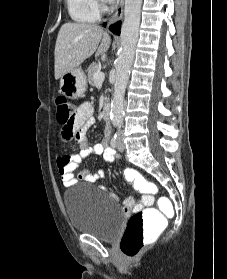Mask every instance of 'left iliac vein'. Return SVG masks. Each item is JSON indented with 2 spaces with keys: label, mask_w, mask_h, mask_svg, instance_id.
<instances>
[{
  "label": "left iliac vein",
  "mask_w": 227,
  "mask_h": 279,
  "mask_svg": "<svg viewBox=\"0 0 227 279\" xmlns=\"http://www.w3.org/2000/svg\"><path fill=\"white\" fill-rule=\"evenodd\" d=\"M118 150L120 152H123L125 150V145L123 143V137L120 136L119 139H118Z\"/></svg>",
  "instance_id": "4c4485c4"
}]
</instances>
